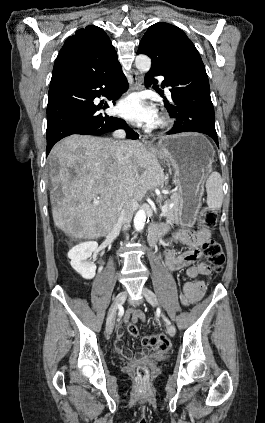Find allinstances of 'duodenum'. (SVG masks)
I'll return each instance as SVG.
<instances>
[{
  "label": "duodenum",
  "instance_id": "1",
  "mask_svg": "<svg viewBox=\"0 0 265 423\" xmlns=\"http://www.w3.org/2000/svg\"><path fill=\"white\" fill-rule=\"evenodd\" d=\"M164 234L163 230L159 229L156 226H153L149 230V241L152 247H155L158 240L162 237Z\"/></svg>",
  "mask_w": 265,
  "mask_h": 423
}]
</instances>
